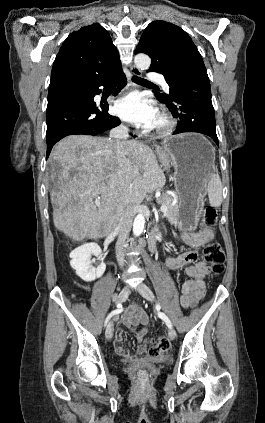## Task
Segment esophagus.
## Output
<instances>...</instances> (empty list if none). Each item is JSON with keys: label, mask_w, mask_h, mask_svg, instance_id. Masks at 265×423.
<instances>
[{"label": "esophagus", "mask_w": 265, "mask_h": 423, "mask_svg": "<svg viewBox=\"0 0 265 423\" xmlns=\"http://www.w3.org/2000/svg\"><path fill=\"white\" fill-rule=\"evenodd\" d=\"M131 72H132V75H134V76H140L141 75V71L139 69H137L136 67H131Z\"/></svg>", "instance_id": "1"}]
</instances>
